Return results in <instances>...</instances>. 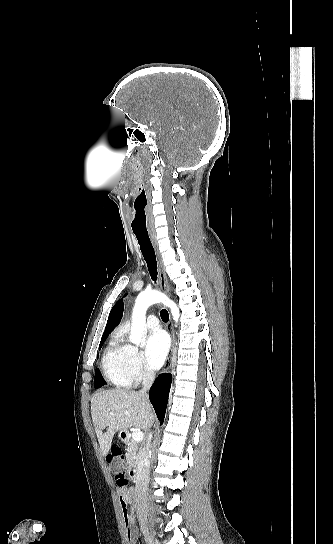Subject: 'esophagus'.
<instances>
[{
    "label": "esophagus",
    "instance_id": "esophagus-1",
    "mask_svg": "<svg viewBox=\"0 0 333 544\" xmlns=\"http://www.w3.org/2000/svg\"><path fill=\"white\" fill-rule=\"evenodd\" d=\"M150 239H151V243L153 245V248H154V251H155V254H156L160 286H161V288L163 289V291L165 293L169 294L170 293V287H169L167 275H166V272H165V268L163 266L162 259L160 257V254H159V251H158V248H157L156 239H155V237L153 235L150 236ZM167 330L169 331L170 336H171V349H170V353L167 356L166 361H165L164 372H168L171 369L172 358H173V355H174V352H175V336H174V329H173L171 315L169 316V321L167 323Z\"/></svg>",
    "mask_w": 333,
    "mask_h": 544
}]
</instances>
